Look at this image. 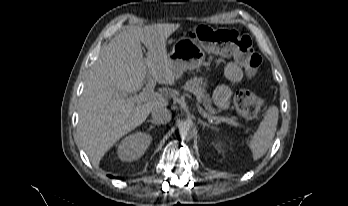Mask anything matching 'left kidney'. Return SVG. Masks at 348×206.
I'll return each mask as SVG.
<instances>
[{
	"instance_id": "5707ae66",
	"label": "left kidney",
	"mask_w": 348,
	"mask_h": 206,
	"mask_svg": "<svg viewBox=\"0 0 348 206\" xmlns=\"http://www.w3.org/2000/svg\"><path fill=\"white\" fill-rule=\"evenodd\" d=\"M216 147H217V149H222V144L218 143V144H216Z\"/></svg>"
}]
</instances>
